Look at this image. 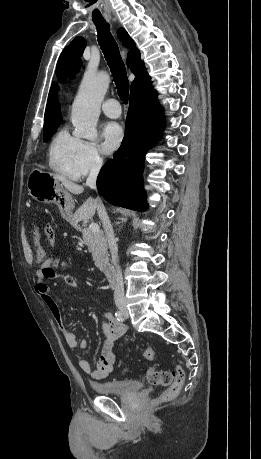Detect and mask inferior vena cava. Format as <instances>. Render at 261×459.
Returning <instances> with one entry per match:
<instances>
[{
  "instance_id": "1",
  "label": "inferior vena cava",
  "mask_w": 261,
  "mask_h": 459,
  "mask_svg": "<svg viewBox=\"0 0 261 459\" xmlns=\"http://www.w3.org/2000/svg\"><path fill=\"white\" fill-rule=\"evenodd\" d=\"M101 166H102V160L100 159L99 156H96L91 163L90 173L86 180V185L92 189H96V180H97L99 171L101 169ZM95 206H96L99 218L102 221V224L105 230V234H106V239H107L109 249L112 255V261L115 265L114 301L116 304L123 303L125 301L124 284H123V279H122L121 268L118 265V261H119L118 246L116 244L113 228H112L109 217L105 211L104 205L102 201L100 200V198L95 199Z\"/></svg>"
}]
</instances>
